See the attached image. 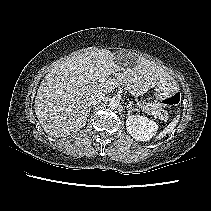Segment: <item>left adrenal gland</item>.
<instances>
[{
  "label": "left adrenal gland",
  "instance_id": "1",
  "mask_svg": "<svg viewBox=\"0 0 211 211\" xmlns=\"http://www.w3.org/2000/svg\"><path fill=\"white\" fill-rule=\"evenodd\" d=\"M126 108L128 110V115L131 113V111H135L131 104H126Z\"/></svg>",
  "mask_w": 211,
  "mask_h": 211
}]
</instances>
